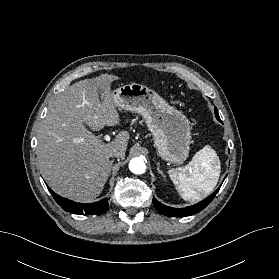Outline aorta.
<instances>
[{
  "label": "aorta",
  "mask_w": 279,
  "mask_h": 279,
  "mask_svg": "<svg viewBox=\"0 0 279 279\" xmlns=\"http://www.w3.org/2000/svg\"><path fill=\"white\" fill-rule=\"evenodd\" d=\"M145 162L142 157L132 158L129 163V169L135 174H143L145 172Z\"/></svg>",
  "instance_id": "aorta-1"
}]
</instances>
